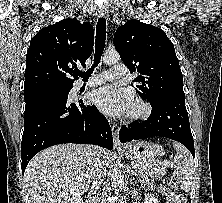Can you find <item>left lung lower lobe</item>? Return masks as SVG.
<instances>
[{
	"mask_svg": "<svg viewBox=\"0 0 222 203\" xmlns=\"http://www.w3.org/2000/svg\"><path fill=\"white\" fill-rule=\"evenodd\" d=\"M152 112L144 122H133L120 129V141L161 136L176 140L185 145L194 157V141L190 130L185 97L168 95L150 103Z\"/></svg>",
	"mask_w": 222,
	"mask_h": 203,
	"instance_id": "obj_1",
	"label": "left lung lower lobe"
}]
</instances>
